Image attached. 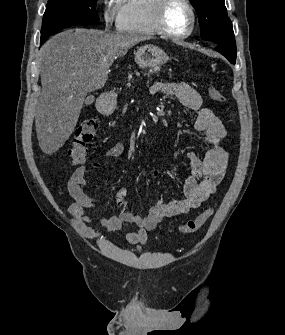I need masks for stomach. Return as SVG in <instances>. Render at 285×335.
<instances>
[{"label":"stomach","mask_w":285,"mask_h":335,"mask_svg":"<svg viewBox=\"0 0 285 335\" xmlns=\"http://www.w3.org/2000/svg\"><path fill=\"white\" fill-rule=\"evenodd\" d=\"M168 60L167 54L158 46H142L135 54V62L140 68H158V66L166 64ZM116 104V94H111V92L102 94L98 100L99 110L102 112H113Z\"/></svg>","instance_id":"0dacf381"}]
</instances>
